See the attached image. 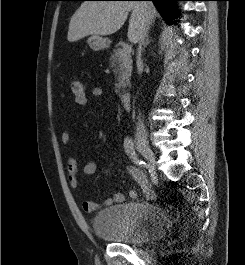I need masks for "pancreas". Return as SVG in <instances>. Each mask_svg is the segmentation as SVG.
I'll return each instance as SVG.
<instances>
[{"label":"pancreas","mask_w":245,"mask_h":265,"mask_svg":"<svg viewBox=\"0 0 245 265\" xmlns=\"http://www.w3.org/2000/svg\"><path fill=\"white\" fill-rule=\"evenodd\" d=\"M132 62L131 55L123 54V49L121 48L115 49L111 54L109 63L115 75V92L117 94H120L121 90L130 85Z\"/></svg>","instance_id":"obj_1"}]
</instances>
